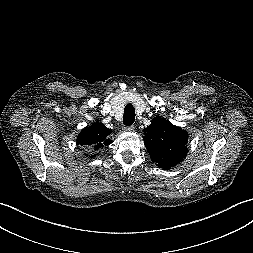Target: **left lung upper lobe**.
Returning a JSON list of instances; mask_svg holds the SVG:
<instances>
[{"instance_id": "5c2ea615", "label": "left lung upper lobe", "mask_w": 253, "mask_h": 253, "mask_svg": "<svg viewBox=\"0 0 253 253\" xmlns=\"http://www.w3.org/2000/svg\"><path fill=\"white\" fill-rule=\"evenodd\" d=\"M143 140L152 161L163 169L182 162L188 152L186 131L159 116L144 129Z\"/></svg>"}]
</instances>
